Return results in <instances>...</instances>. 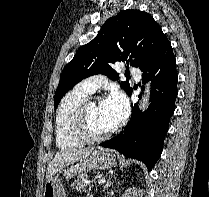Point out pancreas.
Instances as JSON below:
<instances>
[{
  "label": "pancreas",
  "instance_id": "pancreas-1",
  "mask_svg": "<svg viewBox=\"0 0 209 197\" xmlns=\"http://www.w3.org/2000/svg\"><path fill=\"white\" fill-rule=\"evenodd\" d=\"M88 177L86 175H80L78 178L71 184L72 189H76L77 191H86Z\"/></svg>",
  "mask_w": 209,
  "mask_h": 197
}]
</instances>
